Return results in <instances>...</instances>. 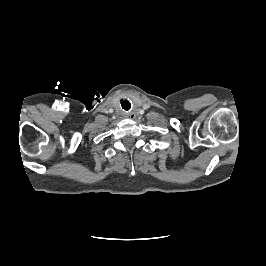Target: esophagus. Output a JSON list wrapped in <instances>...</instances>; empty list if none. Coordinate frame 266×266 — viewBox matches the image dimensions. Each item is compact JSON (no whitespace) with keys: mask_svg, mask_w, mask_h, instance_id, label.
Listing matches in <instances>:
<instances>
[{"mask_svg":"<svg viewBox=\"0 0 266 266\" xmlns=\"http://www.w3.org/2000/svg\"><path fill=\"white\" fill-rule=\"evenodd\" d=\"M133 116L135 117V115H130V117H133Z\"/></svg>","mask_w":266,"mask_h":266,"instance_id":"esophagus-1","label":"esophagus"}]
</instances>
